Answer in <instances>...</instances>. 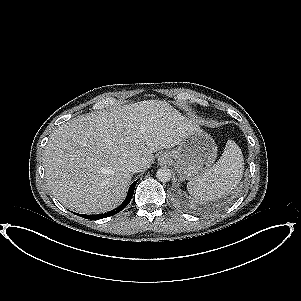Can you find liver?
Wrapping results in <instances>:
<instances>
[{
	"mask_svg": "<svg viewBox=\"0 0 301 301\" xmlns=\"http://www.w3.org/2000/svg\"><path fill=\"white\" fill-rule=\"evenodd\" d=\"M189 124L173 107L154 102L81 115L49 137L43 153L47 184L70 210L108 212L125 196L129 165L141 164L144 171L154 152L180 144Z\"/></svg>",
	"mask_w": 301,
	"mask_h": 301,
	"instance_id": "liver-1",
	"label": "liver"
}]
</instances>
